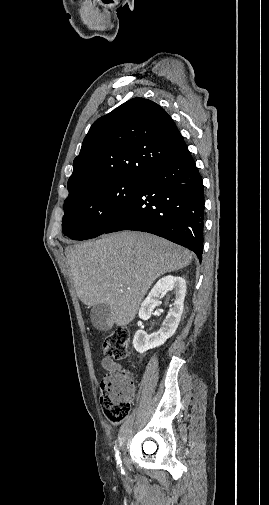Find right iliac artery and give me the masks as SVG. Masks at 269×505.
<instances>
[{
	"instance_id": "1",
	"label": "right iliac artery",
	"mask_w": 269,
	"mask_h": 505,
	"mask_svg": "<svg viewBox=\"0 0 269 505\" xmlns=\"http://www.w3.org/2000/svg\"><path fill=\"white\" fill-rule=\"evenodd\" d=\"M115 457H116L117 467L120 468L121 473L124 474V470L122 468V462H121V458H120V452L118 449H116Z\"/></svg>"
}]
</instances>
